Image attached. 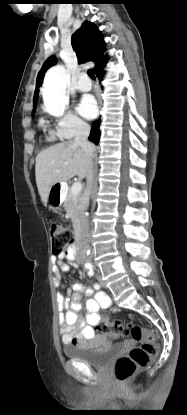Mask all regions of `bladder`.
Listing matches in <instances>:
<instances>
[{
  "mask_svg": "<svg viewBox=\"0 0 187 415\" xmlns=\"http://www.w3.org/2000/svg\"><path fill=\"white\" fill-rule=\"evenodd\" d=\"M121 350V344L100 351L90 350L79 345H67L63 348L64 355L67 358L80 360L96 368H105L112 358L120 354Z\"/></svg>",
  "mask_w": 187,
  "mask_h": 415,
  "instance_id": "31cf9c89",
  "label": "bladder"
}]
</instances>
